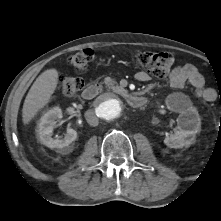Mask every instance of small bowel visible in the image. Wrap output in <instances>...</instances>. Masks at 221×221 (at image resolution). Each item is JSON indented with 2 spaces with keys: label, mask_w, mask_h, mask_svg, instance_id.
Instances as JSON below:
<instances>
[{
  "label": "small bowel",
  "mask_w": 221,
  "mask_h": 221,
  "mask_svg": "<svg viewBox=\"0 0 221 221\" xmlns=\"http://www.w3.org/2000/svg\"><path fill=\"white\" fill-rule=\"evenodd\" d=\"M135 78L138 81L145 82L149 80L147 73L137 72ZM169 82L173 88H183L186 84H190L196 90V95L207 102H213L217 98V93L214 89L205 87L203 76L197 68L192 64H184L175 67L170 74Z\"/></svg>",
  "instance_id": "1"
}]
</instances>
